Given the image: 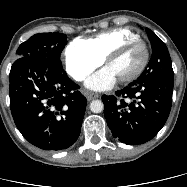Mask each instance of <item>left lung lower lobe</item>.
Segmentation results:
<instances>
[{
  "label": "left lung lower lobe",
  "instance_id": "0a47b994",
  "mask_svg": "<svg viewBox=\"0 0 187 187\" xmlns=\"http://www.w3.org/2000/svg\"><path fill=\"white\" fill-rule=\"evenodd\" d=\"M173 78L124 87L102 96L104 114L114 138L128 145L151 140L164 126L172 105Z\"/></svg>",
  "mask_w": 187,
  "mask_h": 187
}]
</instances>
